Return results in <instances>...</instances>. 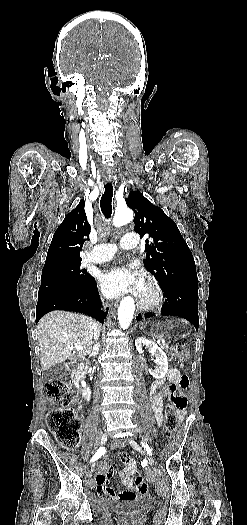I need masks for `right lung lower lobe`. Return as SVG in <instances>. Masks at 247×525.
Returning a JSON list of instances; mask_svg holds the SVG:
<instances>
[{"mask_svg": "<svg viewBox=\"0 0 247 525\" xmlns=\"http://www.w3.org/2000/svg\"><path fill=\"white\" fill-rule=\"evenodd\" d=\"M101 301L94 278L86 286L77 290L51 292L38 297L36 306V323L40 318L53 310H65L90 315L103 322L105 315L101 312Z\"/></svg>", "mask_w": 247, "mask_h": 525, "instance_id": "1", "label": "right lung lower lobe"}]
</instances>
